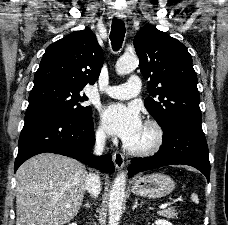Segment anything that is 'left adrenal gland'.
<instances>
[{
	"label": "left adrenal gland",
	"instance_id": "a2214340",
	"mask_svg": "<svg viewBox=\"0 0 228 225\" xmlns=\"http://www.w3.org/2000/svg\"><path fill=\"white\" fill-rule=\"evenodd\" d=\"M137 207H138V199H135L132 209H137Z\"/></svg>",
	"mask_w": 228,
	"mask_h": 225
}]
</instances>
